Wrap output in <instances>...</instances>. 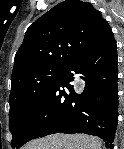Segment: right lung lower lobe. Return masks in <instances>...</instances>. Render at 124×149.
I'll list each match as a JSON object with an SVG mask.
<instances>
[{"label":"right lung lower lobe","instance_id":"right-lung-lower-lobe-1","mask_svg":"<svg viewBox=\"0 0 124 149\" xmlns=\"http://www.w3.org/2000/svg\"><path fill=\"white\" fill-rule=\"evenodd\" d=\"M117 47L113 38L102 47L66 65L29 121L16 145L55 133H84L105 140L113 148L118 121ZM85 81L82 94L73 85Z\"/></svg>","mask_w":124,"mask_h":149}]
</instances>
